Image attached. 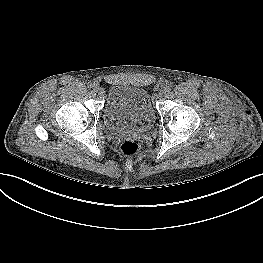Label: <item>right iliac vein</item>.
<instances>
[{"instance_id":"right-iliac-vein-1","label":"right iliac vein","mask_w":263,"mask_h":263,"mask_svg":"<svg viewBox=\"0 0 263 263\" xmlns=\"http://www.w3.org/2000/svg\"><path fill=\"white\" fill-rule=\"evenodd\" d=\"M95 89H96V92H98V93H100V94H103V93H104L103 88H100L99 86H97Z\"/></svg>"}]
</instances>
